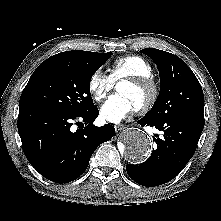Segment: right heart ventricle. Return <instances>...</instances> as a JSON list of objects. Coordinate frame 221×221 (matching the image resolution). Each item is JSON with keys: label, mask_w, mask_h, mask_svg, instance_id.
Here are the masks:
<instances>
[{"label": "right heart ventricle", "mask_w": 221, "mask_h": 221, "mask_svg": "<svg viewBox=\"0 0 221 221\" xmlns=\"http://www.w3.org/2000/svg\"><path fill=\"white\" fill-rule=\"evenodd\" d=\"M150 63L141 56L128 55L116 59L110 68V77L114 82L136 76H151Z\"/></svg>", "instance_id": "e07e8e85"}]
</instances>
